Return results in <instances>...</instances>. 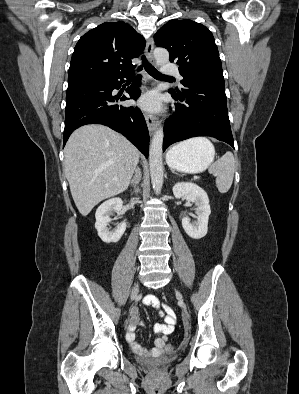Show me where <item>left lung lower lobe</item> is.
Returning <instances> with one entry per match:
<instances>
[{
	"instance_id": "obj_1",
	"label": "left lung lower lobe",
	"mask_w": 299,
	"mask_h": 394,
	"mask_svg": "<svg viewBox=\"0 0 299 394\" xmlns=\"http://www.w3.org/2000/svg\"><path fill=\"white\" fill-rule=\"evenodd\" d=\"M183 86L181 91H169L183 103H178L175 115L165 121L163 152L175 142L196 136H212L234 148L224 79L197 77Z\"/></svg>"
}]
</instances>
